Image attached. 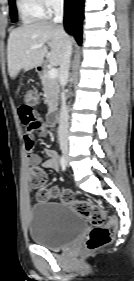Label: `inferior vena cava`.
Segmentation results:
<instances>
[{
	"label": "inferior vena cava",
	"instance_id": "602c4592",
	"mask_svg": "<svg viewBox=\"0 0 134 281\" xmlns=\"http://www.w3.org/2000/svg\"><path fill=\"white\" fill-rule=\"evenodd\" d=\"M53 9L55 11V17L53 19V23L61 24L63 22V0H54ZM71 55H72V44L69 41H66L65 51L60 63V73H59V81L62 86V92H61V109H60L59 127H58V139L61 147L63 148H67L68 146L69 115L66 105V95L64 91V86L66 85L69 77Z\"/></svg>",
	"mask_w": 134,
	"mask_h": 281
}]
</instances>
